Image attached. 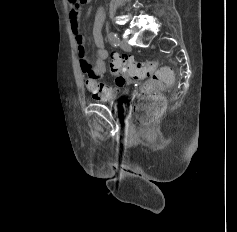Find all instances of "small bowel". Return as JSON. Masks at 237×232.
Listing matches in <instances>:
<instances>
[{
    "label": "small bowel",
    "mask_w": 237,
    "mask_h": 232,
    "mask_svg": "<svg viewBox=\"0 0 237 232\" xmlns=\"http://www.w3.org/2000/svg\"><path fill=\"white\" fill-rule=\"evenodd\" d=\"M80 6L71 4L70 9V24L75 36V43L79 56V65L81 72L86 76L84 83L88 91L93 94V97L97 100L108 101L115 97L116 92L113 87L100 82L106 72V59L108 58V51L104 47V41L102 36V17L98 15L96 17L93 26V40L98 48L96 57L91 58L85 54V38L81 34L80 30Z\"/></svg>",
    "instance_id": "c3829d8e"
}]
</instances>
